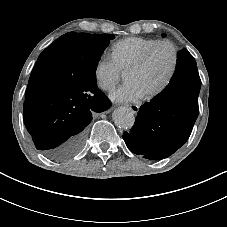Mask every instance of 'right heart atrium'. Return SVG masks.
<instances>
[{
    "instance_id": "1",
    "label": "right heart atrium",
    "mask_w": 227,
    "mask_h": 227,
    "mask_svg": "<svg viewBox=\"0 0 227 227\" xmlns=\"http://www.w3.org/2000/svg\"><path fill=\"white\" fill-rule=\"evenodd\" d=\"M120 75V69L112 57L103 55L99 58L94 68V80L101 91H112L119 82Z\"/></svg>"
}]
</instances>
